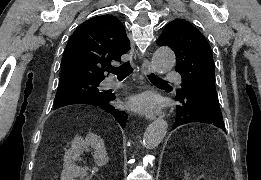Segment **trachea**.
I'll list each match as a JSON object with an SVG mask.
<instances>
[{
	"label": "trachea",
	"instance_id": "3493384b",
	"mask_svg": "<svg viewBox=\"0 0 261 180\" xmlns=\"http://www.w3.org/2000/svg\"><path fill=\"white\" fill-rule=\"evenodd\" d=\"M106 70L108 72L115 73L117 75L118 79H124V78L128 77L129 75H131V73L133 72V68L131 67L129 62L122 63V65H120V67H112V66L107 67ZM149 79L152 83H156V84H167L168 83L165 80H162L161 78H159L154 73L149 75Z\"/></svg>",
	"mask_w": 261,
	"mask_h": 180
}]
</instances>
